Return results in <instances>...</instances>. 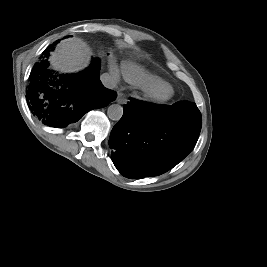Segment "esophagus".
I'll return each mask as SVG.
<instances>
[{
	"label": "esophagus",
	"mask_w": 267,
	"mask_h": 267,
	"mask_svg": "<svg viewBox=\"0 0 267 267\" xmlns=\"http://www.w3.org/2000/svg\"><path fill=\"white\" fill-rule=\"evenodd\" d=\"M116 101L119 103V104H126L128 99L126 98V96L123 94V93H119L117 95V99Z\"/></svg>",
	"instance_id": "1"
}]
</instances>
